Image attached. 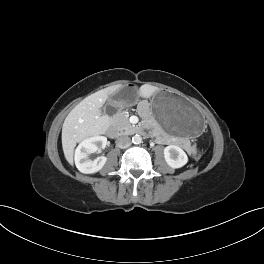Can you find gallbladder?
I'll use <instances>...</instances> for the list:
<instances>
[{"instance_id": "1", "label": "gallbladder", "mask_w": 264, "mask_h": 264, "mask_svg": "<svg viewBox=\"0 0 264 264\" xmlns=\"http://www.w3.org/2000/svg\"><path fill=\"white\" fill-rule=\"evenodd\" d=\"M101 112H102V113H105V110H104V109H101Z\"/></svg>"}]
</instances>
